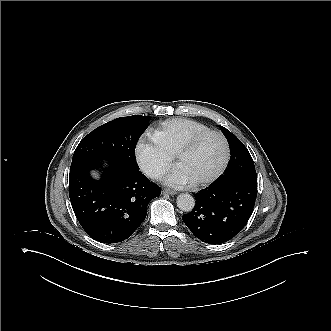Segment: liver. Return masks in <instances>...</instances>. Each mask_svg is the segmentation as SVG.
<instances>
[{
  "label": "liver",
  "instance_id": "1",
  "mask_svg": "<svg viewBox=\"0 0 331 331\" xmlns=\"http://www.w3.org/2000/svg\"><path fill=\"white\" fill-rule=\"evenodd\" d=\"M92 176H93L94 178H96V179L99 178V175H98L97 173H95V172L92 173Z\"/></svg>",
  "mask_w": 331,
  "mask_h": 331
}]
</instances>
